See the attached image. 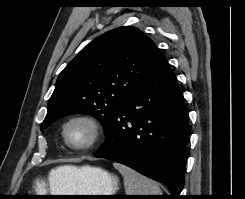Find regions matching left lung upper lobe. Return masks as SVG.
<instances>
[{
	"mask_svg": "<svg viewBox=\"0 0 245 199\" xmlns=\"http://www.w3.org/2000/svg\"><path fill=\"white\" fill-rule=\"evenodd\" d=\"M162 58L155 43L135 27H119L94 39L59 74L41 131L74 113L96 117L105 129L116 108Z\"/></svg>",
	"mask_w": 245,
	"mask_h": 199,
	"instance_id": "1",
	"label": "left lung upper lobe"
}]
</instances>
